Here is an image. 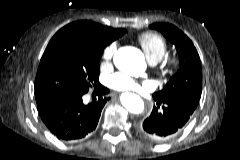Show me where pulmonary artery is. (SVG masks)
<instances>
[{"label":"pulmonary artery","mask_w":240,"mask_h":160,"mask_svg":"<svg viewBox=\"0 0 240 160\" xmlns=\"http://www.w3.org/2000/svg\"><path fill=\"white\" fill-rule=\"evenodd\" d=\"M150 63L154 65L157 63V61L152 60V61H150Z\"/></svg>","instance_id":"obj_1"}]
</instances>
